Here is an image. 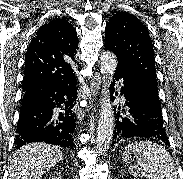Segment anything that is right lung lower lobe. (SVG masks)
<instances>
[{"instance_id":"98d812e1","label":"right lung lower lobe","mask_w":183,"mask_h":179,"mask_svg":"<svg viewBox=\"0 0 183 179\" xmlns=\"http://www.w3.org/2000/svg\"><path fill=\"white\" fill-rule=\"evenodd\" d=\"M77 80L69 83H38L25 90L17 124L15 148L27 143L46 142L74 150L73 107L77 98ZM64 106L59 116L55 107Z\"/></svg>"}]
</instances>
